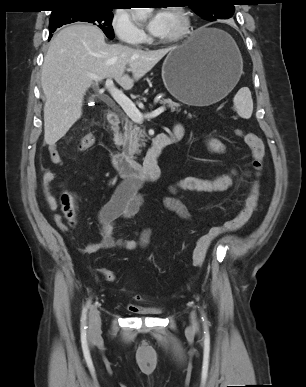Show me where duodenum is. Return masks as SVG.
I'll return each instance as SVG.
<instances>
[{
  "instance_id": "duodenum-1",
  "label": "duodenum",
  "mask_w": 306,
  "mask_h": 387,
  "mask_svg": "<svg viewBox=\"0 0 306 387\" xmlns=\"http://www.w3.org/2000/svg\"><path fill=\"white\" fill-rule=\"evenodd\" d=\"M107 120L113 134L118 133L120 127V116L116 112H110ZM181 135L157 134L152 141L143 161L132 156H125L116 151L111 153V165L117 174L127 181L140 183L141 181L154 182L161 176L158 158L165 147L179 140Z\"/></svg>"
}]
</instances>
